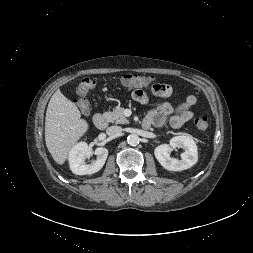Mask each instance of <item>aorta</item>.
I'll return each mask as SVG.
<instances>
[{
    "label": "aorta",
    "instance_id": "762f6f07",
    "mask_svg": "<svg viewBox=\"0 0 253 253\" xmlns=\"http://www.w3.org/2000/svg\"><path fill=\"white\" fill-rule=\"evenodd\" d=\"M127 142L131 146H136L137 144H139L140 138H139V136L137 134H130L127 137Z\"/></svg>",
    "mask_w": 253,
    "mask_h": 253
}]
</instances>
